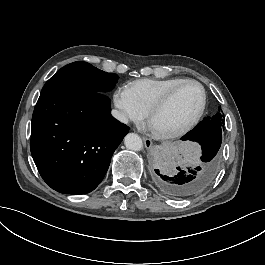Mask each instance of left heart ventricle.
Instances as JSON below:
<instances>
[{
    "mask_svg": "<svg viewBox=\"0 0 265 265\" xmlns=\"http://www.w3.org/2000/svg\"><path fill=\"white\" fill-rule=\"evenodd\" d=\"M202 102V92L198 85L188 83L181 87L173 100L152 122L157 132H169L185 125L198 111Z\"/></svg>",
    "mask_w": 265,
    "mask_h": 265,
    "instance_id": "1",
    "label": "left heart ventricle"
}]
</instances>
